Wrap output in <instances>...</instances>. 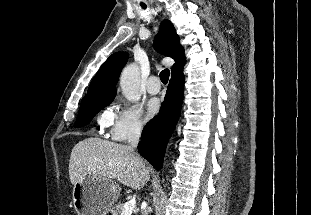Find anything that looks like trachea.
I'll use <instances>...</instances> for the list:
<instances>
[{
	"label": "trachea",
	"mask_w": 311,
	"mask_h": 215,
	"mask_svg": "<svg viewBox=\"0 0 311 215\" xmlns=\"http://www.w3.org/2000/svg\"><path fill=\"white\" fill-rule=\"evenodd\" d=\"M142 7L144 9L146 8V6H142ZM169 76H170V71L168 69H164V70L161 71L160 79H161L163 84H167L168 83Z\"/></svg>",
	"instance_id": "obj_1"
}]
</instances>
